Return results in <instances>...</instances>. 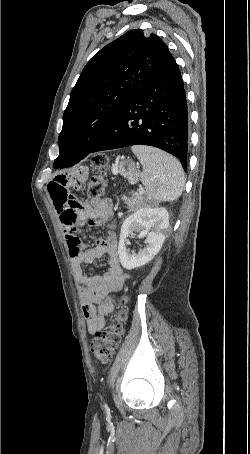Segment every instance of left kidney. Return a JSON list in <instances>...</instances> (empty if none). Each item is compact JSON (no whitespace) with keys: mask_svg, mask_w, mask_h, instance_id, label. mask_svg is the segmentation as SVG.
<instances>
[{"mask_svg":"<svg viewBox=\"0 0 250 454\" xmlns=\"http://www.w3.org/2000/svg\"><path fill=\"white\" fill-rule=\"evenodd\" d=\"M168 226L169 214L163 207H141L128 216L121 226L118 244L121 265L131 270L148 263L161 250ZM133 232H138L139 238L145 237L147 243L137 254H130L126 248V238Z\"/></svg>","mask_w":250,"mask_h":454,"instance_id":"1","label":"left kidney"}]
</instances>
